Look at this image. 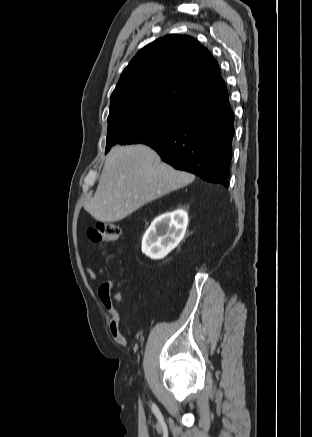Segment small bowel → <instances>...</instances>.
Segmentation results:
<instances>
[{
	"instance_id": "1",
	"label": "small bowel",
	"mask_w": 312,
	"mask_h": 437,
	"mask_svg": "<svg viewBox=\"0 0 312 437\" xmlns=\"http://www.w3.org/2000/svg\"><path fill=\"white\" fill-rule=\"evenodd\" d=\"M86 272L91 280L97 282L98 285V295L102 301L104 308L110 314L109 331L111 333L114 341L122 346L127 345V340L122 334L120 329V314L117 310L113 299L110 296L111 283L110 282H99L98 274L90 267H86ZM118 299H121L119 296Z\"/></svg>"
}]
</instances>
